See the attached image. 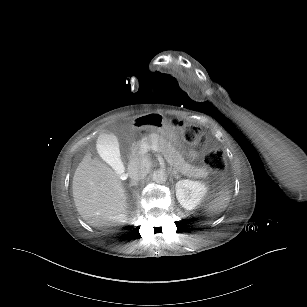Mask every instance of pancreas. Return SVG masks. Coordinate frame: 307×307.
I'll use <instances>...</instances> for the list:
<instances>
[{"label":"pancreas","instance_id":"obj_1","mask_svg":"<svg viewBox=\"0 0 307 307\" xmlns=\"http://www.w3.org/2000/svg\"><path fill=\"white\" fill-rule=\"evenodd\" d=\"M144 142L150 146L157 142V145L162 149V153L166 160H171L175 167H178L179 170L189 175L194 174L203 176L207 172L201 165L194 166L192 164H187V162L182 159L181 155L162 136L158 137V135L153 134L150 138H145Z\"/></svg>","mask_w":307,"mask_h":307}]
</instances>
